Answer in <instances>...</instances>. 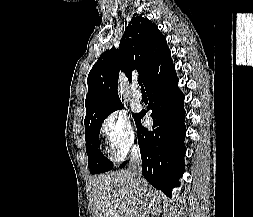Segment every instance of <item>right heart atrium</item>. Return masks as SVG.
I'll list each match as a JSON object with an SVG mask.
<instances>
[{"label": "right heart atrium", "instance_id": "1", "mask_svg": "<svg viewBox=\"0 0 253 217\" xmlns=\"http://www.w3.org/2000/svg\"><path fill=\"white\" fill-rule=\"evenodd\" d=\"M112 157L122 160L135 144V134L129 116L122 111L109 113L100 126Z\"/></svg>", "mask_w": 253, "mask_h": 217}]
</instances>
